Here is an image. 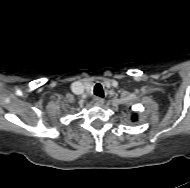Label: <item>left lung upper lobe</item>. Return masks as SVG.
Here are the masks:
<instances>
[{
    "label": "left lung upper lobe",
    "mask_w": 190,
    "mask_h": 188,
    "mask_svg": "<svg viewBox=\"0 0 190 188\" xmlns=\"http://www.w3.org/2000/svg\"><path fill=\"white\" fill-rule=\"evenodd\" d=\"M132 121H133V122L137 121V115H136V114H133V115H132Z\"/></svg>",
    "instance_id": "1"
}]
</instances>
